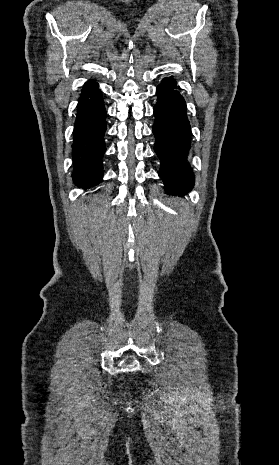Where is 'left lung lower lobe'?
I'll return each instance as SVG.
<instances>
[{
  "instance_id": "obj_1",
  "label": "left lung lower lobe",
  "mask_w": 279,
  "mask_h": 465,
  "mask_svg": "<svg viewBox=\"0 0 279 465\" xmlns=\"http://www.w3.org/2000/svg\"><path fill=\"white\" fill-rule=\"evenodd\" d=\"M158 100L154 106V151L161 161L159 176L166 193L185 195L194 186V174L187 156L191 147L190 124L186 103L177 90L176 82L165 78L157 87Z\"/></svg>"
}]
</instances>
